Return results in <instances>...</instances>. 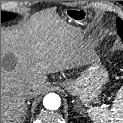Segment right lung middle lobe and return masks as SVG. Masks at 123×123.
<instances>
[{
    "label": "right lung middle lobe",
    "instance_id": "1",
    "mask_svg": "<svg viewBox=\"0 0 123 123\" xmlns=\"http://www.w3.org/2000/svg\"><path fill=\"white\" fill-rule=\"evenodd\" d=\"M15 14L13 13H9V12H1V22H4V21H9L13 18H15Z\"/></svg>",
    "mask_w": 123,
    "mask_h": 123
}]
</instances>
